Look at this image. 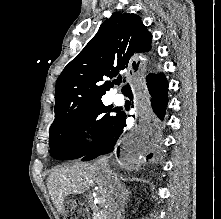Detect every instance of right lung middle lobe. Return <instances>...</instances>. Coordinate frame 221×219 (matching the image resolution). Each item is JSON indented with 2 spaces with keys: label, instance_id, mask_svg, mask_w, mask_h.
Listing matches in <instances>:
<instances>
[{
  "label": "right lung middle lobe",
  "instance_id": "right-lung-middle-lobe-1",
  "mask_svg": "<svg viewBox=\"0 0 221 219\" xmlns=\"http://www.w3.org/2000/svg\"><path fill=\"white\" fill-rule=\"evenodd\" d=\"M111 107L102 101L79 107L60 119L50 127V154L58 160L76 159L86 155L112 127L116 115H111ZM92 128L95 138L92 143H84L86 131Z\"/></svg>",
  "mask_w": 221,
  "mask_h": 219
}]
</instances>
